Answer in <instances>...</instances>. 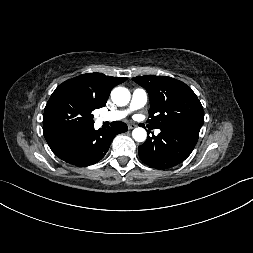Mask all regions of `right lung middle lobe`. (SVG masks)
Masks as SVG:
<instances>
[{"label":"right lung middle lobe","instance_id":"dd1d6c3e","mask_svg":"<svg viewBox=\"0 0 253 253\" xmlns=\"http://www.w3.org/2000/svg\"><path fill=\"white\" fill-rule=\"evenodd\" d=\"M100 108L78 87L63 82L52 93L43 115V132L94 124L92 111Z\"/></svg>","mask_w":253,"mask_h":253}]
</instances>
